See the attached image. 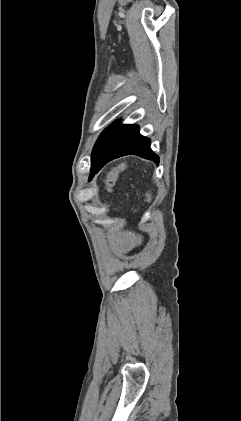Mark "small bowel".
I'll use <instances>...</instances> for the list:
<instances>
[{"label":"small bowel","instance_id":"c3829d8e","mask_svg":"<svg viewBox=\"0 0 241 421\" xmlns=\"http://www.w3.org/2000/svg\"><path fill=\"white\" fill-rule=\"evenodd\" d=\"M119 243L123 249H127L136 243V239L133 236L126 234L120 238Z\"/></svg>","mask_w":241,"mask_h":421}]
</instances>
